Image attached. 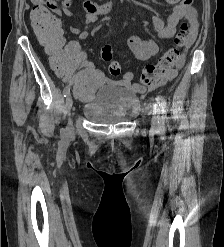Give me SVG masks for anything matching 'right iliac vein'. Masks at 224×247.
I'll return each instance as SVG.
<instances>
[{"mask_svg": "<svg viewBox=\"0 0 224 247\" xmlns=\"http://www.w3.org/2000/svg\"><path fill=\"white\" fill-rule=\"evenodd\" d=\"M72 105H73L72 96H71V94H68L67 97H66V101H65L66 112H67L68 115H70V111H71ZM72 128H73L72 127V122L69 119V121H68V132H71Z\"/></svg>", "mask_w": 224, "mask_h": 247, "instance_id": "obj_1", "label": "right iliac vein"}]
</instances>
